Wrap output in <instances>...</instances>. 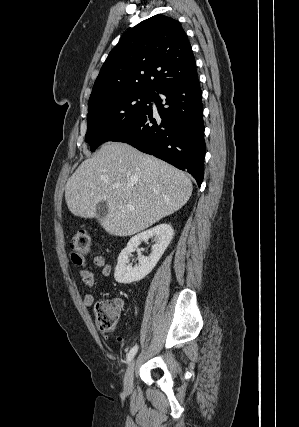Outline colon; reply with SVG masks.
Listing matches in <instances>:
<instances>
[{
    "label": "colon",
    "instance_id": "1",
    "mask_svg": "<svg viewBox=\"0 0 299 427\" xmlns=\"http://www.w3.org/2000/svg\"><path fill=\"white\" fill-rule=\"evenodd\" d=\"M71 257L76 262L83 261L91 253V238L87 230H78L70 241ZM120 310L108 300H100L94 305L97 328L104 334L112 333L119 320Z\"/></svg>",
    "mask_w": 299,
    "mask_h": 427
}]
</instances>
